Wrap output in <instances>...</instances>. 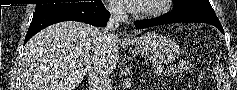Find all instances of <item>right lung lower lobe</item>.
I'll use <instances>...</instances> for the list:
<instances>
[{
  "label": "right lung lower lobe",
  "mask_w": 237,
  "mask_h": 90,
  "mask_svg": "<svg viewBox=\"0 0 237 90\" xmlns=\"http://www.w3.org/2000/svg\"><path fill=\"white\" fill-rule=\"evenodd\" d=\"M110 14L101 1L72 4L35 12L25 37L24 44L43 28L62 21H79L94 26H106Z\"/></svg>",
  "instance_id": "obj_1"
}]
</instances>
